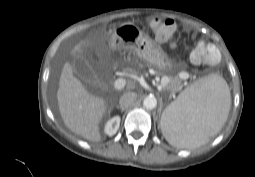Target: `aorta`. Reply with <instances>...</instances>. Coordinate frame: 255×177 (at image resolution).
<instances>
[{
    "instance_id": "aorta-1",
    "label": "aorta",
    "mask_w": 255,
    "mask_h": 177,
    "mask_svg": "<svg viewBox=\"0 0 255 177\" xmlns=\"http://www.w3.org/2000/svg\"><path fill=\"white\" fill-rule=\"evenodd\" d=\"M143 105L146 109L152 110L157 105V100L154 96H148L144 99Z\"/></svg>"
}]
</instances>
